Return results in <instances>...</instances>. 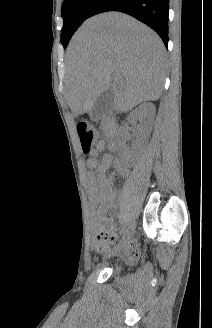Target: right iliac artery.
Wrapping results in <instances>:
<instances>
[{
  "label": "right iliac artery",
  "mask_w": 212,
  "mask_h": 328,
  "mask_svg": "<svg viewBox=\"0 0 212 328\" xmlns=\"http://www.w3.org/2000/svg\"><path fill=\"white\" fill-rule=\"evenodd\" d=\"M125 227H126V226H125L124 224H122V226H121V231H120L121 233H124V231H125Z\"/></svg>",
  "instance_id": "obj_1"
}]
</instances>
